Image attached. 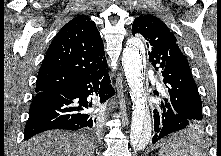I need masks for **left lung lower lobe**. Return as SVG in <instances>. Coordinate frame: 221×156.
Wrapping results in <instances>:
<instances>
[{"instance_id": "obj_1", "label": "left lung lower lobe", "mask_w": 221, "mask_h": 156, "mask_svg": "<svg viewBox=\"0 0 221 156\" xmlns=\"http://www.w3.org/2000/svg\"><path fill=\"white\" fill-rule=\"evenodd\" d=\"M158 95V93L156 94ZM200 125L194 119L179 113L165 97L159 102L154 110V136L152 143L155 144L161 138L178 130L193 128Z\"/></svg>"}]
</instances>
